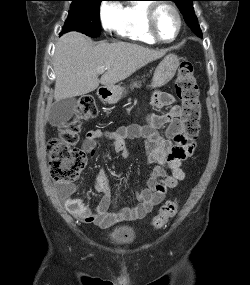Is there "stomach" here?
<instances>
[{
	"label": "stomach",
	"instance_id": "0dacf381",
	"mask_svg": "<svg viewBox=\"0 0 250 285\" xmlns=\"http://www.w3.org/2000/svg\"><path fill=\"white\" fill-rule=\"evenodd\" d=\"M178 66L179 58L174 54L167 55L155 69L150 87L159 88L169 83L174 77ZM107 91L108 93L104 99L110 104L117 103L126 93L125 88L121 86L107 88Z\"/></svg>",
	"mask_w": 250,
	"mask_h": 285
}]
</instances>
